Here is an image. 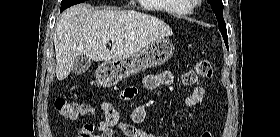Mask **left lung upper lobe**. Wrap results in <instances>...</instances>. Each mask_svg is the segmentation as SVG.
Returning <instances> with one entry per match:
<instances>
[{
  "instance_id": "obj_1",
  "label": "left lung upper lobe",
  "mask_w": 280,
  "mask_h": 137,
  "mask_svg": "<svg viewBox=\"0 0 280 137\" xmlns=\"http://www.w3.org/2000/svg\"><path fill=\"white\" fill-rule=\"evenodd\" d=\"M208 3L212 6V10L216 15L219 30L223 36L225 45L228 49V36H227V30H226V24L223 18V3L222 0H207Z\"/></svg>"
}]
</instances>
